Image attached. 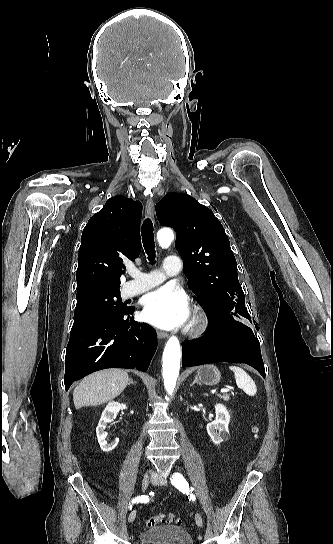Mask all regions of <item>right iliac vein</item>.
Here are the masks:
<instances>
[{"instance_id":"right-iliac-vein-1","label":"right iliac vein","mask_w":333,"mask_h":544,"mask_svg":"<svg viewBox=\"0 0 333 544\" xmlns=\"http://www.w3.org/2000/svg\"><path fill=\"white\" fill-rule=\"evenodd\" d=\"M149 482H150V477L149 475L146 473L143 477V480H142V489L143 491H145L148 486H149ZM135 517H136V510L133 509L128 517V521L129 523H132L134 520H135Z\"/></svg>"}]
</instances>
